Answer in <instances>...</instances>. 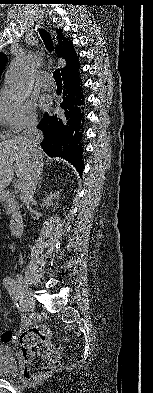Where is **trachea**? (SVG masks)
<instances>
[{
    "label": "trachea",
    "instance_id": "1",
    "mask_svg": "<svg viewBox=\"0 0 153 393\" xmlns=\"http://www.w3.org/2000/svg\"><path fill=\"white\" fill-rule=\"evenodd\" d=\"M39 33L44 41L45 47L47 48L48 51H53L54 45L52 38L50 34L44 30V29H39ZM53 77L55 79L56 84H62V77H61V72L59 69H56L53 73Z\"/></svg>",
    "mask_w": 153,
    "mask_h": 393
}]
</instances>
